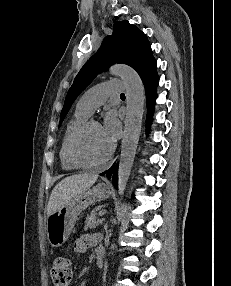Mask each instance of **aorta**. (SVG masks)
Here are the masks:
<instances>
[{"label":"aorta","instance_id":"1","mask_svg":"<svg viewBox=\"0 0 231 286\" xmlns=\"http://www.w3.org/2000/svg\"><path fill=\"white\" fill-rule=\"evenodd\" d=\"M113 75L119 76L126 88V118L118 168V194L124 195L133 166L144 113V86L138 73L127 65H114Z\"/></svg>","mask_w":231,"mask_h":286}]
</instances>
